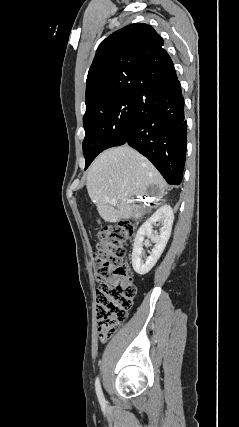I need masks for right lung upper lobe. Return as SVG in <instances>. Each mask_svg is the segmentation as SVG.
Wrapping results in <instances>:
<instances>
[{
  "instance_id": "1",
  "label": "right lung upper lobe",
  "mask_w": 239,
  "mask_h": 427,
  "mask_svg": "<svg viewBox=\"0 0 239 427\" xmlns=\"http://www.w3.org/2000/svg\"><path fill=\"white\" fill-rule=\"evenodd\" d=\"M164 42L148 24H130L99 45L88 72L86 108L99 101L140 96L177 78Z\"/></svg>"
}]
</instances>
